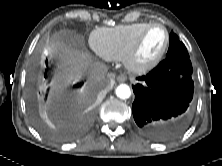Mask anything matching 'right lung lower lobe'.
Wrapping results in <instances>:
<instances>
[{"label": "right lung lower lobe", "instance_id": "right-lung-lower-lobe-1", "mask_svg": "<svg viewBox=\"0 0 222 166\" xmlns=\"http://www.w3.org/2000/svg\"><path fill=\"white\" fill-rule=\"evenodd\" d=\"M46 64H47V61H46ZM45 78H46V74H45ZM76 87H79V86H81V84H77V85H75Z\"/></svg>", "mask_w": 222, "mask_h": 166}]
</instances>
